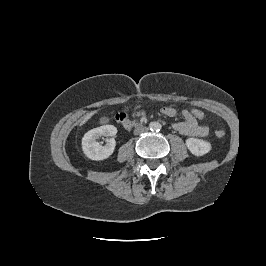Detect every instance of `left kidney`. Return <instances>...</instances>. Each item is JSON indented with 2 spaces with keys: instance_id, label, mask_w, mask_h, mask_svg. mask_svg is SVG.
Segmentation results:
<instances>
[{
  "instance_id": "5707ae66",
  "label": "left kidney",
  "mask_w": 266,
  "mask_h": 266,
  "mask_svg": "<svg viewBox=\"0 0 266 266\" xmlns=\"http://www.w3.org/2000/svg\"><path fill=\"white\" fill-rule=\"evenodd\" d=\"M186 146L195 156H203L211 150V144L205 140L198 138H188Z\"/></svg>"
}]
</instances>
